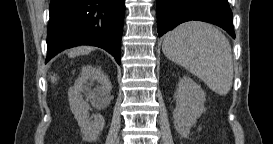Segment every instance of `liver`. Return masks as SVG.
<instances>
[{
  "mask_svg": "<svg viewBox=\"0 0 273 144\" xmlns=\"http://www.w3.org/2000/svg\"><path fill=\"white\" fill-rule=\"evenodd\" d=\"M94 48L91 46H80V47H76L73 48L70 53H69V57H76L79 55H85V54H89Z\"/></svg>",
  "mask_w": 273,
  "mask_h": 144,
  "instance_id": "1",
  "label": "liver"
}]
</instances>
